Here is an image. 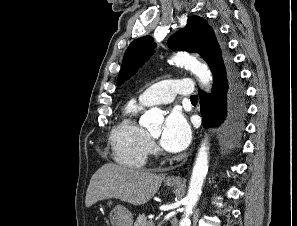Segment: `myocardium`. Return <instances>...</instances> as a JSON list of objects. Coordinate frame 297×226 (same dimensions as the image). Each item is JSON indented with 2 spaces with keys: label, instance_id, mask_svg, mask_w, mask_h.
I'll list each match as a JSON object with an SVG mask.
<instances>
[{
  "label": "myocardium",
  "instance_id": "obj_1",
  "mask_svg": "<svg viewBox=\"0 0 297 226\" xmlns=\"http://www.w3.org/2000/svg\"><path fill=\"white\" fill-rule=\"evenodd\" d=\"M150 137H151L152 139H154V136H153V135H150Z\"/></svg>",
  "mask_w": 297,
  "mask_h": 226
}]
</instances>
